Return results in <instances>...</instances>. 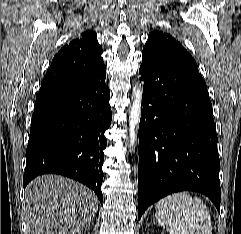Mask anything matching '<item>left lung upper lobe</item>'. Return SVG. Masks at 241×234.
<instances>
[{
	"label": "left lung upper lobe",
	"instance_id": "left-lung-upper-lobe-1",
	"mask_svg": "<svg viewBox=\"0 0 241 234\" xmlns=\"http://www.w3.org/2000/svg\"><path fill=\"white\" fill-rule=\"evenodd\" d=\"M143 51L156 55L161 60L183 69L198 72V67L192 56L174 37L161 31H153Z\"/></svg>",
	"mask_w": 241,
	"mask_h": 234
}]
</instances>
